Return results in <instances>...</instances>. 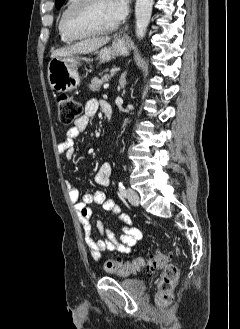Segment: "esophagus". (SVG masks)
Segmentation results:
<instances>
[{
	"instance_id": "esophagus-1",
	"label": "esophagus",
	"mask_w": 240,
	"mask_h": 329,
	"mask_svg": "<svg viewBox=\"0 0 240 329\" xmlns=\"http://www.w3.org/2000/svg\"><path fill=\"white\" fill-rule=\"evenodd\" d=\"M119 42L123 43L124 42L123 38H119Z\"/></svg>"
}]
</instances>
